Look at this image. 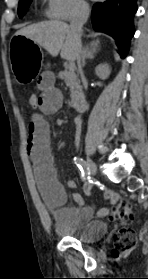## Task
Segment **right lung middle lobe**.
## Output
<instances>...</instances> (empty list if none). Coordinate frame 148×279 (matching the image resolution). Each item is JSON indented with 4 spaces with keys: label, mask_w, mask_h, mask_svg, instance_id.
<instances>
[{
    "label": "right lung middle lobe",
    "mask_w": 148,
    "mask_h": 279,
    "mask_svg": "<svg viewBox=\"0 0 148 279\" xmlns=\"http://www.w3.org/2000/svg\"><path fill=\"white\" fill-rule=\"evenodd\" d=\"M32 0H20L18 5V15L19 17H23L26 13L30 3Z\"/></svg>",
    "instance_id": "dd1d6c3e"
}]
</instances>
